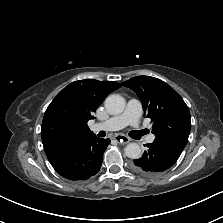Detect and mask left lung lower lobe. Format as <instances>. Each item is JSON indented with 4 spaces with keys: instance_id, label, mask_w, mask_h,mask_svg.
<instances>
[{
    "instance_id": "1",
    "label": "left lung lower lobe",
    "mask_w": 223,
    "mask_h": 223,
    "mask_svg": "<svg viewBox=\"0 0 223 223\" xmlns=\"http://www.w3.org/2000/svg\"><path fill=\"white\" fill-rule=\"evenodd\" d=\"M143 156L134 160L132 169L142 176H155L173 166L184 147L166 140L147 144Z\"/></svg>"
}]
</instances>
